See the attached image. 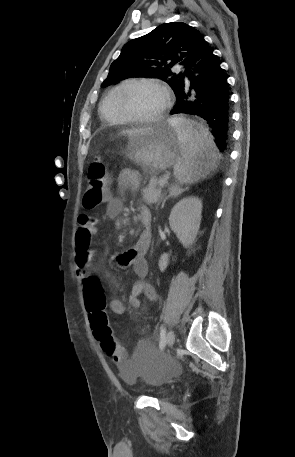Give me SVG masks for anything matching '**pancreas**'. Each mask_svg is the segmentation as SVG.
<instances>
[{"instance_id":"obj_1","label":"pancreas","mask_w":295,"mask_h":457,"mask_svg":"<svg viewBox=\"0 0 295 457\" xmlns=\"http://www.w3.org/2000/svg\"><path fill=\"white\" fill-rule=\"evenodd\" d=\"M143 200L147 204L159 203L163 198L162 187L156 178H152L149 185L142 190Z\"/></svg>"}]
</instances>
